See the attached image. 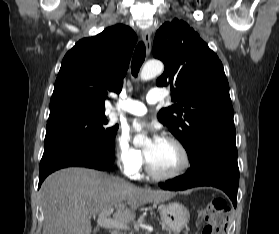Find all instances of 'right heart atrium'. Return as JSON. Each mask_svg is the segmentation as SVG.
<instances>
[{
  "instance_id": "1",
  "label": "right heart atrium",
  "mask_w": 279,
  "mask_h": 234,
  "mask_svg": "<svg viewBox=\"0 0 279 234\" xmlns=\"http://www.w3.org/2000/svg\"><path fill=\"white\" fill-rule=\"evenodd\" d=\"M114 156L120 169L128 176L135 175L144 163L143 152L132 145L124 133L116 138Z\"/></svg>"
}]
</instances>
